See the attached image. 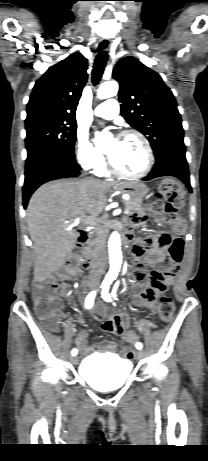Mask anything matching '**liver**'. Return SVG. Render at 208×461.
I'll list each match as a JSON object with an SVG mask.
<instances>
[{"instance_id": "6515ba94", "label": "liver", "mask_w": 208, "mask_h": 461, "mask_svg": "<svg viewBox=\"0 0 208 461\" xmlns=\"http://www.w3.org/2000/svg\"><path fill=\"white\" fill-rule=\"evenodd\" d=\"M120 184L98 180L62 179L40 186L26 212L34 252V278L41 281L59 269L78 238L76 220L98 216L110 188ZM89 214L90 216H88Z\"/></svg>"}]
</instances>
